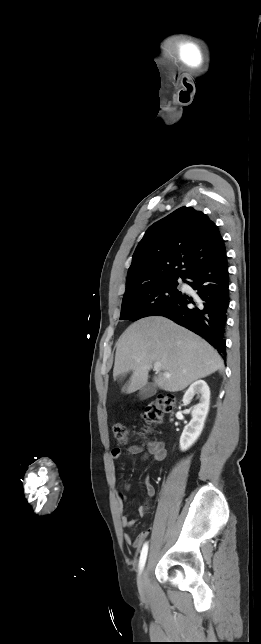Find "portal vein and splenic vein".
Listing matches in <instances>:
<instances>
[{"instance_id":"obj_1","label":"portal vein and splenic vein","mask_w":261,"mask_h":644,"mask_svg":"<svg viewBox=\"0 0 261 644\" xmlns=\"http://www.w3.org/2000/svg\"><path fill=\"white\" fill-rule=\"evenodd\" d=\"M154 370L156 372H159L161 370V363L160 362H155L154 363ZM164 376L167 377V378L171 377V375L169 373H164Z\"/></svg>"}]
</instances>
